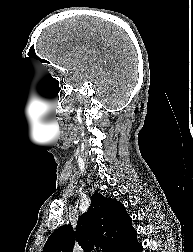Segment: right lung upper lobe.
I'll list each match as a JSON object with an SVG mask.
<instances>
[{
    "mask_svg": "<svg viewBox=\"0 0 193 252\" xmlns=\"http://www.w3.org/2000/svg\"><path fill=\"white\" fill-rule=\"evenodd\" d=\"M134 232L122 203L94 193L89 209L78 219L76 233L70 224L56 229L45 243L43 252H72L75 237L85 252L94 247L116 252Z\"/></svg>",
    "mask_w": 193,
    "mask_h": 252,
    "instance_id": "cb5924a9",
    "label": "right lung upper lobe"
}]
</instances>
